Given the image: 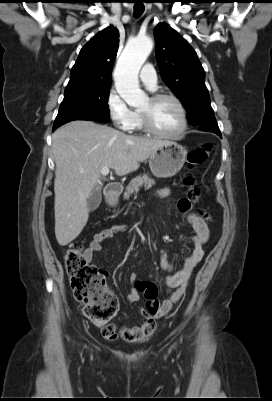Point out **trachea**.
<instances>
[{
  "mask_svg": "<svg viewBox=\"0 0 272 401\" xmlns=\"http://www.w3.org/2000/svg\"><path fill=\"white\" fill-rule=\"evenodd\" d=\"M135 1L136 4L134 5V16L139 17L144 12L145 7L142 3V0H135Z\"/></svg>",
  "mask_w": 272,
  "mask_h": 401,
  "instance_id": "3493384b",
  "label": "trachea"
}]
</instances>
